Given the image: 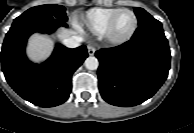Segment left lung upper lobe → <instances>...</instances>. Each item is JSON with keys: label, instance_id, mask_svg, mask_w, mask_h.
<instances>
[{"label": "left lung upper lobe", "instance_id": "1", "mask_svg": "<svg viewBox=\"0 0 194 133\" xmlns=\"http://www.w3.org/2000/svg\"><path fill=\"white\" fill-rule=\"evenodd\" d=\"M134 12L136 13V16L138 18V24H142L146 21H149L151 19H154L149 13H147L144 9L135 7Z\"/></svg>", "mask_w": 194, "mask_h": 133}]
</instances>
